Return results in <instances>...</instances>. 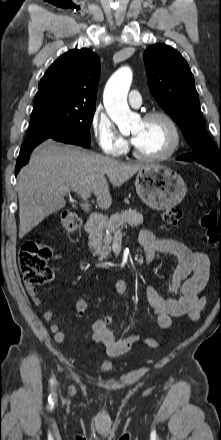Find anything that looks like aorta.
<instances>
[{
    "mask_svg": "<svg viewBox=\"0 0 221 440\" xmlns=\"http://www.w3.org/2000/svg\"><path fill=\"white\" fill-rule=\"evenodd\" d=\"M131 82V70L128 67H123L110 77L104 89L103 103L105 109L119 129L127 127L133 117L127 103V94Z\"/></svg>",
    "mask_w": 221,
    "mask_h": 440,
    "instance_id": "obj_1",
    "label": "aorta"
}]
</instances>
